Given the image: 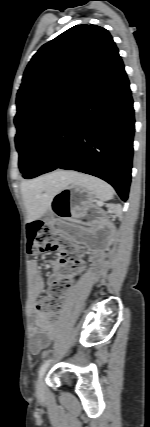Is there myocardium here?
<instances>
[{
  "label": "myocardium",
  "mask_w": 150,
  "mask_h": 427,
  "mask_svg": "<svg viewBox=\"0 0 150 427\" xmlns=\"http://www.w3.org/2000/svg\"><path fill=\"white\" fill-rule=\"evenodd\" d=\"M39 153H35V156H37Z\"/></svg>",
  "instance_id": "myocardium-1"
}]
</instances>
